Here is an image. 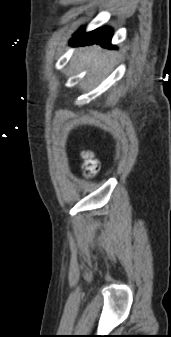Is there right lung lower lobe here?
I'll return each instance as SVG.
<instances>
[{
  "label": "right lung lower lobe",
  "instance_id": "right-lung-lower-lobe-1",
  "mask_svg": "<svg viewBox=\"0 0 171 337\" xmlns=\"http://www.w3.org/2000/svg\"><path fill=\"white\" fill-rule=\"evenodd\" d=\"M112 37V31L108 27L99 28L89 33H84V30H79L75 33L72 41L74 45H92L100 44L102 47L114 48L110 42Z\"/></svg>",
  "mask_w": 171,
  "mask_h": 337
}]
</instances>
